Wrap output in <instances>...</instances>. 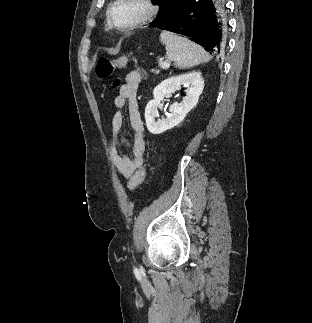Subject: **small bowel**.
Wrapping results in <instances>:
<instances>
[{
  "label": "small bowel",
  "instance_id": "c3829d8e",
  "mask_svg": "<svg viewBox=\"0 0 312 323\" xmlns=\"http://www.w3.org/2000/svg\"><path fill=\"white\" fill-rule=\"evenodd\" d=\"M141 80L142 75L139 71H130L126 75L125 83L120 87L114 99L116 111L111 121L108 151L117 171L126 179L130 178L144 164L146 135L136 99ZM126 105H128L129 120L134 133L131 157L125 155L120 148L121 144L125 142L122 136L124 128L122 110Z\"/></svg>",
  "mask_w": 312,
  "mask_h": 323
}]
</instances>
